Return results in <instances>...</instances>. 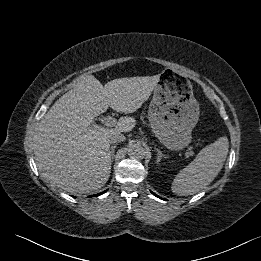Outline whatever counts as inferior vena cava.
Wrapping results in <instances>:
<instances>
[{
    "instance_id": "1",
    "label": "inferior vena cava",
    "mask_w": 261,
    "mask_h": 261,
    "mask_svg": "<svg viewBox=\"0 0 261 261\" xmlns=\"http://www.w3.org/2000/svg\"><path fill=\"white\" fill-rule=\"evenodd\" d=\"M111 143L121 142L125 140V136L120 132H113L109 136Z\"/></svg>"
}]
</instances>
